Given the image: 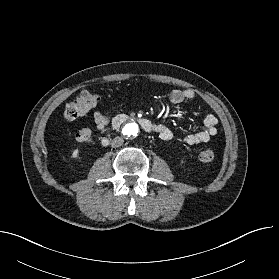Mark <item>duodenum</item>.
Returning a JSON list of instances; mask_svg holds the SVG:
<instances>
[{"mask_svg":"<svg viewBox=\"0 0 279 279\" xmlns=\"http://www.w3.org/2000/svg\"><path fill=\"white\" fill-rule=\"evenodd\" d=\"M129 119H130V117L128 115H125V114L117 116L115 118L114 122H113V128H115V129L119 128L123 123H125ZM138 121H139L140 125L143 127L144 130H146L148 132L153 131V125L149 120L138 119ZM101 144L104 147L108 146L109 138H107V137L102 138Z\"/></svg>","mask_w":279,"mask_h":279,"instance_id":"410a0bca","label":"duodenum"}]
</instances>
